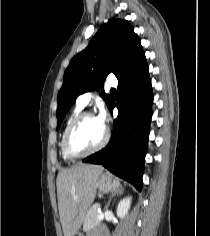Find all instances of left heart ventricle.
Segmentation results:
<instances>
[{
    "label": "left heart ventricle",
    "mask_w": 210,
    "mask_h": 236,
    "mask_svg": "<svg viewBox=\"0 0 210 236\" xmlns=\"http://www.w3.org/2000/svg\"><path fill=\"white\" fill-rule=\"evenodd\" d=\"M104 129L95 117L84 119L73 132L72 149L74 151H85L95 147L103 139Z\"/></svg>",
    "instance_id": "left-heart-ventricle-1"
}]
</instances>
